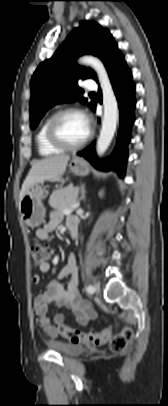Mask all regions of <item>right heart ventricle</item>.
Wrapping results in <instances>:
<instances>
[{"label": "right heart ventricle", "instance_id": "e07e8e85", "mask_svg": "<svg viewBox=\"0 0 168 406\" xmlns=\"http://www.w3.org/2000/svg\"><path fill=\"white\" fill-rule=\"evenodd\" d=\"M50 118L51 117H47L42 122V124L40 125V127L38 128L37 133H36V143H37L38 151H39L40 155H42V156L56 155L62 151V149L50 144V142L47 139L46 130H47V125H48Z\"/></svg>", "mask_w": 168, "mask_h": 406}]
</instances>
